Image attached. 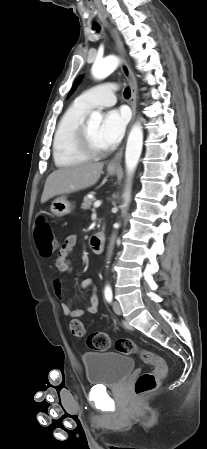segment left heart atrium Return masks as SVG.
<instances>
[{"mask_svg": "<svg viewBox=\"0 0 207 449\" xmlns=\"http://www.w3.org/2000/svg\"><path fill=\"white\" fill-rule=\"evenodd\" d=\"M129 121V115L123 108L106 113L99 130V136L106 147L117 144L122 138Z\"/></svg>", "mask_w": 207, "mask_h": 449, "instance_id": "left-heart-atrium-1", "label": "left heart atrium"}]
</instances>
